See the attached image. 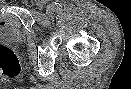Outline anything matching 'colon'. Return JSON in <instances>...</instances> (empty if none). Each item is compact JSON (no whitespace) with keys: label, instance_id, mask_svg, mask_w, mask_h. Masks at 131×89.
<instances>
[{"label":"colon","instance_id":"colon-1","mask_svg":"<svg viewBox=\"0 0 131 89\" xmlns=\"http://www.w3.org/2000/svg\"><path fill=\"white\" fill-rule=\"evenodd\" d=\"M20 72L16 54L8 47L0 46V76L14 77Z\"/></svg>","mask_w":131,"mask_h":89}]
</instances>
